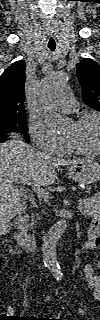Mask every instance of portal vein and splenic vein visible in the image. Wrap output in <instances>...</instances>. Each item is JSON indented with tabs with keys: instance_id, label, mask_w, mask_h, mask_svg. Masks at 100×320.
<instances>
[{
	"instance_id": "18ae733b",
	"label": "portal vein and splenic vein",
	"mask_w": 100,
	"mask_h": 320,
	"mask_svg": "<svg viewBox=\"0 0 100 320\" xmlns=\"http://www.w3.org/2000/svg\"><path fill=\"white\" fill-rule=\"evenodd\" d=\"M17 184L20 183H24V184H31V182H27V181H17ZM33 186V191L38 195V197L44 198V199H48L50 196V193L48 191H46L43 188H40L38 185L35 184H31Z\"/></svg>"
}]
</instances>
